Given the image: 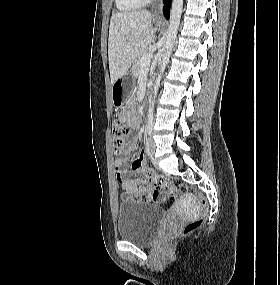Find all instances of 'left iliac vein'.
I'll list each match as a JSON object with an SVG mask.
<instances>
[{
  "instance_id": "obj_1",
  "label": "left iliac vein",
  "mask_w": 280,
  "mask_h": 285,
  "mask_svg": "<svg viewBox=\"0 0 280 285\" xmlns=\"http://www.w3.org/2000/svg\"><path fill=\"white\" fill-rule=\"evenodd\" d=\"M155 149H156L155 141L152 137H149L148 138V150H149L150 154L153 155L155 152Z\"/></svg>"
}]
</instances>
